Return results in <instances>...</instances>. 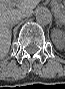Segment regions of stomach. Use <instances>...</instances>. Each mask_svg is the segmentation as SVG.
<instances>
[{"label":"stomach","mask_w":65,"mask_h":89,"mask_svg":"<svg viewBox=\"0 0 65 89\" xmlns=\"http://www.w3.org/2000/svg\"><path fill=\"white\" fill-rule=\"evenodd\" d=\"M52 9L58 18V20L64 24L65 22V3L64 2H54L52 3Z\"/></svg>","instance_id":"1"}]
</instances>
